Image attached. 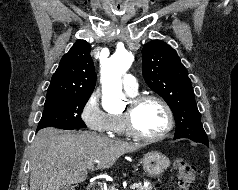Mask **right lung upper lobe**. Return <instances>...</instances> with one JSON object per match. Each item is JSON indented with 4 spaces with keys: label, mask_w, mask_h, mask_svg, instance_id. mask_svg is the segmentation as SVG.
I'll use <instances>...</instances> for the list:
<instances>
[{
    "label": "right lung upper lobe",
    "mask_w": 238,
    "mask_h": 190,
    "mask_svg": "<svg viewBox=\"0 0 238 190\" xmlns=\"http://www.w3.org/2000/svg\"><path fill=\"white\" fill-rule=\"evenodd\" d=\"M96 82L95 68L90 56V44L77 41L65 54L52 76L47 98L69 95H89Z\"/></svg>",
    "instance_id": "obj_1"
}]
</instances>
